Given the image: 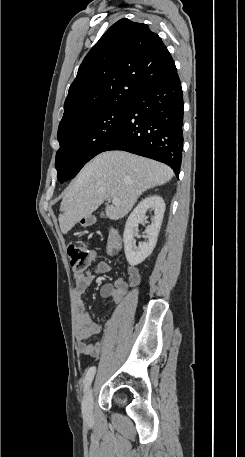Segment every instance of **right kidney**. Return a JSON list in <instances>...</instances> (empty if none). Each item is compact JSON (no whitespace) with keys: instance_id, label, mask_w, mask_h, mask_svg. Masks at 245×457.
I'll use <instances>...</instances> for the list:
<instances>
[{"instance_id":"right-kidney-1","label":"right kidney","mask_w":245,"mask_h":457,"mask_svg":"<svg viewBox=\"0 0 245 457\" xmlns=\"http://www.w3.org/2000/svg\"><path fill=\"white\" fill-rule=\"evenodd\" d=\"M151 210H153L154 216H151V224L146 226L145 231L148 241L147 243H139V247H136L135 239H133L134 231L137 229L139 222H143V224L148 222L146 212H151ZM164 212L165 202L162 196L152 194V196L143 198L129 214L123 233V241L126 259L131 267H135V265L145 261L155 249Z\"/></svg>"}]
</instances>
